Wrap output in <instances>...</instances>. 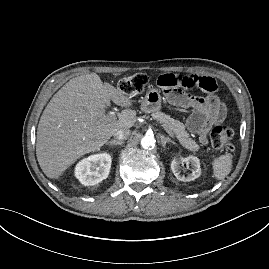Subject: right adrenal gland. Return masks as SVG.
Here are the masks:
<instances>
[{
    "instance_id": "right-adrenal-gland-1",
    "label": "right adrenal gland",
    "mask_w": 269,
    "mask_h": 269,
    "mask_svg": "<svg viewBox=\"0 0 269 269\" xmlns=\"http://www.w3.org/2000/svg\"><path fill=\"white\" fill-rule=\"evenodd\" d=\"M107 145H114V146H119V145H122L123 144V141H116V140H111V141H108L107 143H106Z\"/></svg>"
}]
</instances>
